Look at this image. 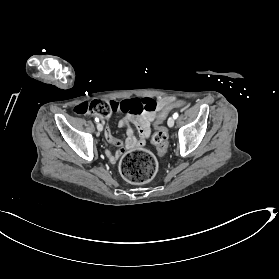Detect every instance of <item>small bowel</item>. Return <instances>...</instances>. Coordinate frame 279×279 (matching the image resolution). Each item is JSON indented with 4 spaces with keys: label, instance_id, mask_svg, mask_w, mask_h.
Returning a JSON list of instances; mask_svg holds the SVG:
<instances>
[{
    "label": "small bowel",
    "instance_id": "small-bowel-1",
    "mask_svg": "<svg viewBox=\"0 0 279 279\" xmlns=\"http://www.w3.org/2000/svg\"><path fill=\"white\" fill-rule=\"evenodd\" d=\"M170 101L168 98L158 99L157 110L162 109L165 106V103ZM156 118L155 112H144L141 115L133 117L131 115L124 116L118 123L119 127L126 128L127 138L125 140H120L115 138L112 135L109 126H106L104 136L105 139L113 146L118 147V150L115 153H112L110 150H106V155L111 162H116L119 156L127 148H135L145 144L146 140L149 138L151 133V123ZM132 123L136 125L139 132V137L137 138L134 135V130L132 128Z\"/></svg>",
    "mask_w": 279,
    "mask_h": 279
}]
</instances>
